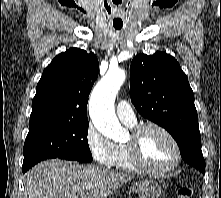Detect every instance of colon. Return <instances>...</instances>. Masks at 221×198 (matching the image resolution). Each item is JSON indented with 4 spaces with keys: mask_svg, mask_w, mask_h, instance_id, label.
Listing matches in <instances>:
<instances>
[{
    "mask_svg": "<svg viewBox=\"0 0 221 198\" xmlns=\"http://www.w3.org/2000/svg\"><path fill=\"white\" fill-rule=\"evenodd\" d=\"M192 191L188 187L180 188L177 194V198H191Z\"/></svg>",
    "mask_w": 221,
    "mask_h": 198,
    "instance_id": "1",
    "label": "colon"
}]
</instances>
